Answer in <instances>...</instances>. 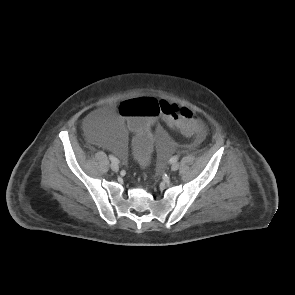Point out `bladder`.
<instances>
[{
	"label": "bladder",
	"mask_w": 295,
	"mask_h": 295,
	"mask_svg": "<svg viewBox=\"0 0 295 295\" xmlns=\"http://www.w3.org/2000/svg\"><path fill=\"white\" fill-rule=\"evenodd\" d=\"M118 121L114 113L107 110L91 113L81 124V135L85 140L95 144H101L112 155H123L129 149V138L124 131L117 127ZM153 134L158 140L156 142L157 152L154 162V170L163 172L169 153L174 151L172 137L166 134L162 125L153 127Z\"/></svg>",
	"instance_id": "obj_1"
}]
</instances>
